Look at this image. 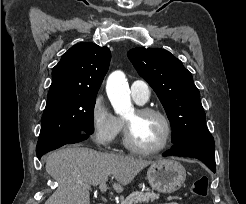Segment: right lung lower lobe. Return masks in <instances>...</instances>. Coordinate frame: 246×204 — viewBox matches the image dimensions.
Listing matches in <instances>:
<instances>
[{
    "label": "right lung lower lobe",
    "mask_w": 246,
    "mask_h": 204,
    "mask_svg": "<svg viewBox=\"0 0 246 204\" xmlns=\"http://www.w3.org/2000/svg\"><path fill=\"white\" fill-rule=\"evenodd\" d=\"M88 135L89 134H82V135H79L77 137H75L74 139H72L70 142H68L67 144H71V143H77V142H80L82 140H85L86 138H88ZM42 157V155L38 156V158L40 159Z\"/></svg>",
    "instance_id": "obj_1"
}]
</instances>
